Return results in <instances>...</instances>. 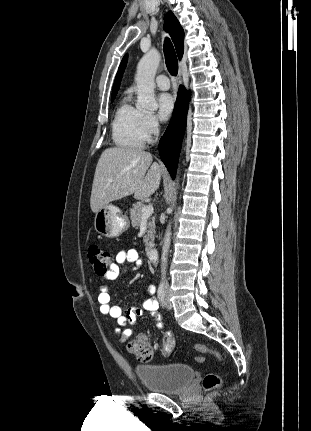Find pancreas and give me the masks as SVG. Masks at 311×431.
Here are the masks:
<instances>
[{
  "label": "pancreas",
  "mask_w": 311,
  "mask_h": 431,
  "mask_svg": "<svg viewBox=\"0 0 311 431\" xmlns=\"http://www.w3.org/2000/svg\"><path fill=\"white\" fill-rule=\"evenodd\" d=\"M146 208V204H142V202H137V204H133L132 208L129 210V216L131 219V223L133 227L139 229V225L142 221V210ZM151 221H148L146 229L147 233L144 235V243H145V251H150L152 247H154V237H155V217H148Z\"/></svg>",
  "instance_id": "cf45deb5"
}]
</instances>
